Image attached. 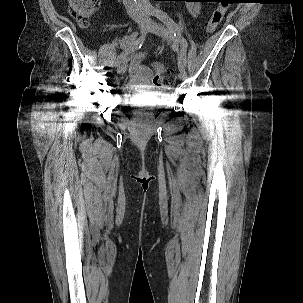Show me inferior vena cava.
I'll list each match as a JSON object with an SVG mask.
<instances>
[{
  "label": "inferior vena cava",
  "instance_id": "inferior-vena-cava-1",
  "mask_svg": "<svg viewBox=\"0 0 303 303\" xmlns=\"http://www.w3.org/2000/svg\"><path fill=\"white\" fill-rule=\"evenodd\" d=\"M125 9L127 10L128 15L133 19L137 20L143 17V13L139 8L136 0H123Z\"/></svg>",
  "mask_w": 303,
  "mask_h": 303
}]
</instances>
